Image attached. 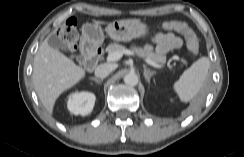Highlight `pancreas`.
<instances>
[{"label": "pancreas", "mask_w": 244, "mask_h": 157, "mask_svg": "<svg viewBox=\"0 0 244 157\" xmlns=\"http://www.w3.org/2000/svg\"><path fill=\"white\" fill-rule=\"evenodd\" d=\"M124 50H127L125 46L120 45L118 43L110 44L106 48V51L111 54L113 52H123ZM137 53H139L142 56H145L146 58L151 59L157 64H164L166 62V56L163 54L155 53L152 50L148 49H137ZM185 62V61H184Z\"/></svg>", "instance_id": "1"}]
</instances>
